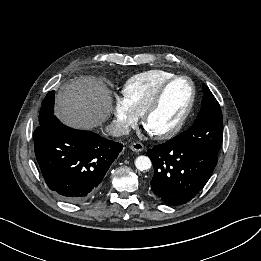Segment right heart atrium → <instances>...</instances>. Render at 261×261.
Segmentation results:
<instances>
[{
  "label": "right heart atrium",
  "instance_id": "obj_1",
  "mask_svg": "<svg viewBox=\"0 0 261 261\" xmlns=\"http://www.w3.org/2000/svg\"><path fill=\"white\" fill-rule=\"evenodd\" d=\"M138 122V115L123 97H117L113 105L112 125L119 134H126Z\"/></svg>",
  "mask_w": 261,
  "mask_h": 261
}]
</instances>
